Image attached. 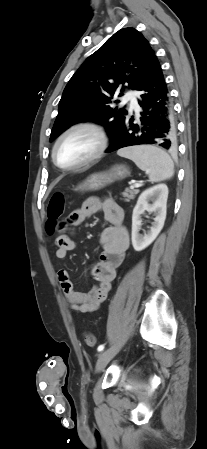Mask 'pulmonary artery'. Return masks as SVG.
Instances as JSON below:
<instances>
[{"instance_id": "pulmonary-artery-1", "label": "pulmonary artery", "mask_w": 207, "mask_h": 449, "mask_svg": "<svg viewBox=\"0 0 207 449\" xmlns=\"http://www.w3.org/2000/svg\"><path fill=\"white\" fill-rule=\"evenodd\" d=\"M124 101L125 102H129V104H130V107L132 108V109H135V110H138L139 109V107H138V103H137V100H136V97H135V92L134 91H129L125 96H124Z\"/></svg>"}]
</instances>
